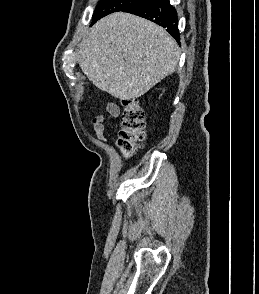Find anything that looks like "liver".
Returning <instances> with one entry per match:
<instances>
[{
    "label": "liver",
    "instance_id": "6515ba94",
    "mask_svg": "<svg viewBox=\"0 0 259 294\" xmlns=\"http://www.w3.org/2000/svg\"><path fill=\"white\" fill-rule=\"evenodd\" d=\"M80 48L82 72L120 100L147 93L175 71L180 57L176 41L162 27L123 12L99 20Z\"/></svg>",
    "mask_w": 259,
    "mask_h": 294
}]
</instances>
